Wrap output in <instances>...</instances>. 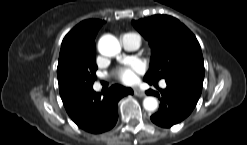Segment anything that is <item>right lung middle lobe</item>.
I'll list each match as a JSON object with an SVG mask.
<instances>
[{"instance_id":"1","label":"right lung middle lobe","mask_w":247,"mask_h":145,"mask_svg":"<svg viewBox=\"0 0 247 145\" xmlns=\"http://www.w3.org/2000/svg\"><path fill=\"white\" fill-rule=\"evenodd\" d=\"M96 70L95 55L74 51L60 53L57 76L61 98L65 99L79 91L92 88Z\"/></svg>"}]
</instances>
